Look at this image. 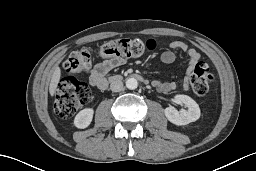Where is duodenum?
<instances>
[{
    "mask_svg": "<svg viewBox=\"0 0 256 171\" xmlns=\"http://www.w3.org/2000/svg\"><path fill=\"white\" fill-rule=\"evenodd\" d=\"M136 79L141 80V81H145L141 76H135ZM120 79H122V76L120 75H114L110 78V82L114 83V82H118Z\"/></svg>",
    "mask_w": 256,
    "mask_h": 171,
    "instance_id": "duodenum-1",
    "label": "duodenum"
}]
</instances>
